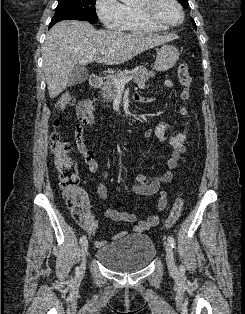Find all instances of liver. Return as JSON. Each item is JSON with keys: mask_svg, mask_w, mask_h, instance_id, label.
I'll return each instance as SVG.
<instances>
[{"mask_svg": "<svg viewBox=\"0 0 245 314\" xmlns=\"http://www.w3.org/2000/svg\"><path fill=\"white\" fill-rule=\"evenodd\" d=\"M175 38L174 34H129L97 30L85 21H61L49 30L43 45V71L49 96L53 99L67 87L68 76L77 64L85 66L92 61L120 64ZM102 50L108 53L97 56Z\"/></svg>", "mask_w": 245, "mask_h": 314, "instance_id": "1", "label": "liver"}]
</instances>
